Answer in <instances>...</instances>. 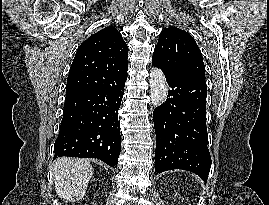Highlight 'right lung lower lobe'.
<instances>
[{
  "mask_svg": "<svg viewBox=\"0 0 269 205\" xmlns=\"http://www.w3.org/2000/svg\"><path fill=\"white\" fill-rule=\"evenodd\" d=\"M126 79L127 72L116 86L65 97L55 158H97L117 168L121 151L117 111Z\"/></svg>",
  "mask_w": 269,
  "mask_h": 205,
  "instance_id": "obj_1",
  "label": "right lung lower lobe"
}]
</instances>
